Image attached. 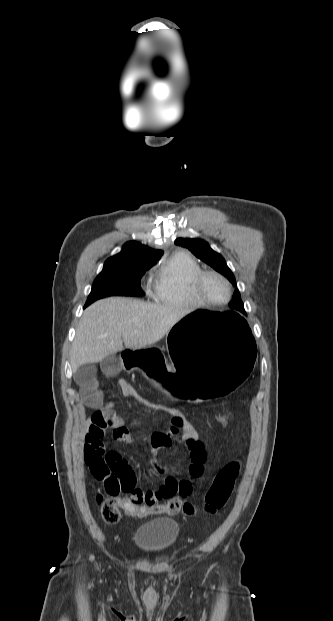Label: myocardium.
Returning <instances> with one entry per match:
<instances>
[{
    "label": "myocardium",
    "instance_id": "obj_1",
    "mask_svg": "<svg viewBox=\"0 0 333 621\" xmlns=\"http://www.w3.org/2000/svg\"><path fill=\"white\" fill-rule=\"evenodd\" d=\"M209 276H213L216 277L218 279H220L221 281H223V283L225 284L226 288H227V296L224 300L222 301H212L210 299H208L202 292V285L204 280L209 277ZM192 293L194 298L196 299V301L198 302L199 305H205V306H222L225 305L226 303L229 302V300L231 299L232 296V284L231 282L228 280L227 277H225L223 274L214 271V270H206V271H202L201 273H199L193 280L192 282Z\"/></svg>",
    "mask_w": 333,
    "mask_h": 621
}]
</instances>
